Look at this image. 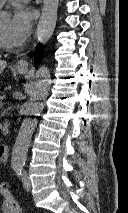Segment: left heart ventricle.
I'll return each instance as SVG.
<instances>
[{
	"label": "left heart ventricle",
	"mask_w": 128,
	"mask_h": 213,
	"mask_svg": "<svg viewBox=\"0 0 128 213\" xmlns=\"http://www.w3.org/2000/svg\"><path fill=\"white\" fill-rule=\"evenodd\" d=\"M10 31H11V22L9 20H6L0 24V32H2L6 36V38L13 43Z\"/></svg>",
	"instance_id": "left-heart-ventricle-1"
}]
</instances>
